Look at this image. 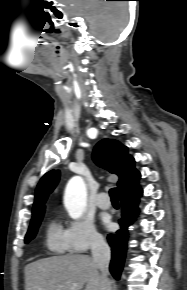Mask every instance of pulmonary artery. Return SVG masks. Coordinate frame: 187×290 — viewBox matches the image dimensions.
<instances>
[{
    "mask_svg": "<svg viewBox=\"0 0 187 290\" xmlns=\"http://www.w3.org/2000/svg\"><path fill=\"white\" fill-rule=\"evenodd\" d=\"M96 205L101 209H108L111 206V202L109 200V197L107 193L101 192L97 195L96 198Z\"/></svg>",
    "mask_w": 187,
    "mask_h": 290,
    "instance_id": "pulmonary-artery-1",
    "label": "pulmonary artery"
}]
</instances>
